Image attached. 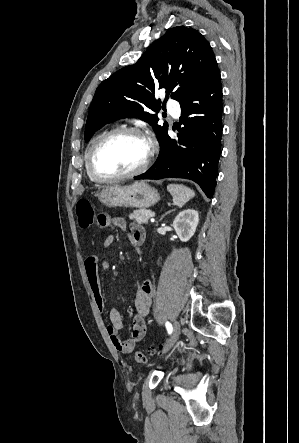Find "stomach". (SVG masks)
Returning <instances> with one entry per match:
<instances>
[{
	"mask_svg": "<svg viewBox=\"0 0 299 443\" xmlns=\"http://www.w3.org/2000/svg\"><path fill=\"white\" fill-rule=\"evenodd\" d=\"M99 201L108 207L148 208L160 199L158 191L145 181L134 182L129 186L111 185L97 194Z\"/></svg>",
	"mask_w": 299,
	"mask_h": 443,
	"instance_id": "obj_1",
	"label": "stomach"
}]
</instances>
